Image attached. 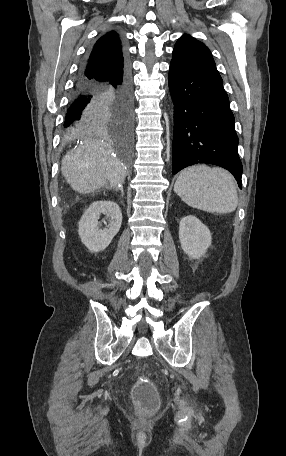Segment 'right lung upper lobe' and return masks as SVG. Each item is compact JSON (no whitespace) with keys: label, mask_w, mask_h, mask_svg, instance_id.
I'll use <instances>...</instances> for the list:
<instances>
[{"label":"right lung upper lobe","mask_w":286,"mask_h":456,"mask_svg":"<svg viewBox=\"0 0 286 456\" xmlns=\"http://www.w3.org/2000/svg\"><path fill=\"white\" fill-rule=\"evenodd\" d=\"M85 73L104 81L108 76L127 71L119 35L110 31L97 40L83 65Z\"/></svg>","instance_id":"obj_1"}]
</instances>
